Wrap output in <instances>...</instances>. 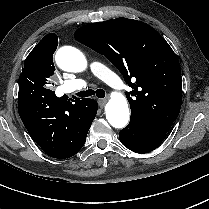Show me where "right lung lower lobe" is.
I'll return each instance as SVG.
<instances>
[{
	"mask_svg": "<svg viewBox=\"0 0 209 209\" xmlns=\"http://www.w3.org/2000/svg\"><path fill=\"white\" fill-rule=\"evenodd\" d=\"M93 101L91 124L98 107L97 102ZM65 111H69L68 105L55 95L41 94L32 87L19 88L18 112L21 120L34 142L53 158L66 159L78 153L85 144L91 126L76 133L70 126L61 125L58 120Z\"/></svg>",
	"mask_w": 209,
	"mask_h": 209,
	"instance_id": "98d812e1",
	"label": "right lung lower lobe"
}]
</instances>
